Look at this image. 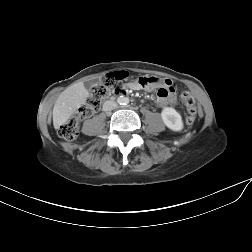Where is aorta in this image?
Listing matches in <instances>:
<instances>
[{
  "label": "aorta",
  "instance_id": "aorta-1",
  "mask_svg": "<svg viewBox=\"0 0 252 252\" xmlns=\"http://www.w3.org/2000/svg\"><path fill=\"white\" fill-rule=\"evenodd\" d=\"M118 102H119L120 105H126L128 103V98L121 96L118 99Z\"/></svg>",
  "mask_w": 252,
  "mask_h": 252
}]
</instances>
